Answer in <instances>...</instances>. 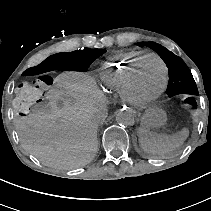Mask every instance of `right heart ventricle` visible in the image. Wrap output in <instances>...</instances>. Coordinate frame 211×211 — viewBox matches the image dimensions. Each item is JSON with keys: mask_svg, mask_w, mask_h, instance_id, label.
<instances>
[{"mask_svg": "<svg viewBox=\"0 0 211 211\" xmlns=\"http://www.w3.org/2000/svg\"><path fill=\"white\" fill-rule=\"evenodd\" d=\"M144 55L147 54H141L138 50H125L121 54L105 59L100 64V71L102 72L101 77L106 86L124 98L127 80L132 67L136 66L137 61Z\"/></svg>", "mask_w": 211, "mask_h": 211, "instance_id": "e07e8e85", "label": "right heart ventricle"}]
</instances>
